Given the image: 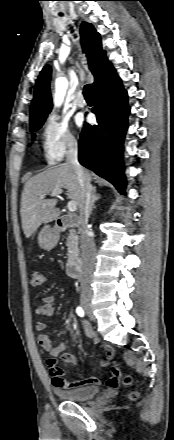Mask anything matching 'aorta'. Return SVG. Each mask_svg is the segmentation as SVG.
<instances>
[{"label": "aorta", "instance_id": "762f6f07", "mask_svg": "<svg viewBox=\"0 0 174 440\" xmlns=\"http://www.w3.org/2000/svg\"><path fill=\"white\" fill-rule=\"evenodd\" d=\"M67 87H68V81L65 77H60V78L56 79V81H55V95H54V103L56 106L61 105V103L64 99V96H65Z\"/></svg>", "mask_w": 174, "mask_h": 440}]
</instances>
